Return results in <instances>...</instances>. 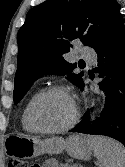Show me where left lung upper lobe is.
Masks as SVG:
<instances>
[{
	"label": "left lung upper lobe",
	"mask_w": 125,
	"mask_h": 167,
	"mask_svg": "<svg viewBox=\"0 0 125 167\" xmlns=\"http://www.w3.org/2000/svg\"><path fill=\"white\" fill-rule=\"evenodd\" d=\"M116 0H47L32 8L18 32V59L13 98L17 104L42 75H65L82 88L83 72L68 63L72 41L95 48L120 16Z\"/></svg>",
	"instance_id": "5c2ea615"
}]
</instances>
